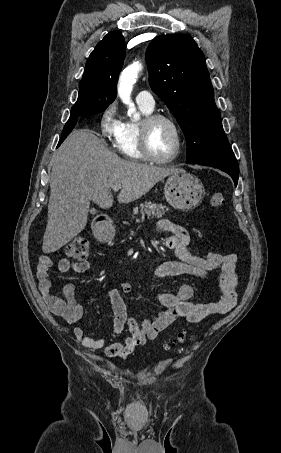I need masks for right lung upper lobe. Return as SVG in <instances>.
<instances>
[{
	"instance_id": "right-lung-upper-lobe-1",
	"label": "right lung upper lobe",
	"mask_w": 281,
	"mask_h": 453,
	"mask_svg": "<svg viewBox=\"0 0 281 453\" xmlns=\"http://www.w3.org/2000/svg\"><path fill=\"white\" fill-rule=\"evenodd\" d=\"M125 40L118 30L97 44L86 63L79 97L72 108L105 110L116 98V84L125 59Z\"/></svg>"
}]
</instances>
